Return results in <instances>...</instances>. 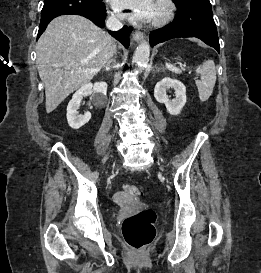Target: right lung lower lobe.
<instances>
[{
    "mask_svg": "<svg viewBox=\"0 0 261 273\" xmlns=\"http://www.w3.org/2000/svg\"><path fill=\"white\" fill-rule=\"evenodd\" d=\"M65 14L81 15L90 19L97 26L104 27L106 7L103 0H44L37 39L52 19ZM109 33L126 48L129 46V29L127 26L116 32L109 31Z\"/></svg>",
    "mask_w": 261,
    "mask_h": 273,
    "instance_id": "1",
    "label": "right lung lower lobe"
}]
</instances>
